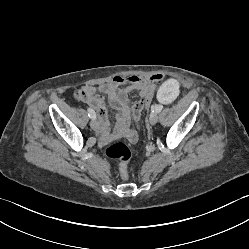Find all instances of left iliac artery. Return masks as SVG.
<instances>
[{
    "label": "left iliac artery",
    "instance_id": "44dca946",
    "mask_svg": "<svg viewBox=\"0 0 249 249\" xmlns=\"http://www.w3.org/2000/svg\"><path fill=\"white\" fill-rule=\"evenodd\" d=\"M163 109V106L162 105H156L153 112H157L159 113L161 110Z\"/></svg>",
    "mask_w": 249,
    "mask_h": 249
}]
</instances>
